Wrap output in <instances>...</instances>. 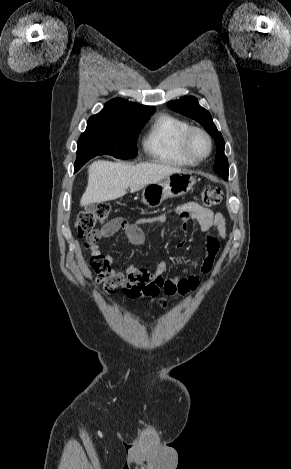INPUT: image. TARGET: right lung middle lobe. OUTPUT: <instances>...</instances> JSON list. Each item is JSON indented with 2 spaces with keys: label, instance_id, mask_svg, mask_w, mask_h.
I'll return each mask as SVG.
<instances>
[{
  "label": "right lung middle lobe",
  "instance_id": "1",
  "mask_svg": "<svg viewBox=\"0 0 291 469\" xmlns=\"http://www.w3.org/2000/svg\"><path fill=\"white\" fill-rule=\"evenodd\" d=\"M149 117L112 120L90 118L86 131L80 136L74 172L97 155H112L119 159L137 156L136 138Z\"/></svg>",
  "mask_w": 291,
  "mask_h": 469
}]
</instances>
